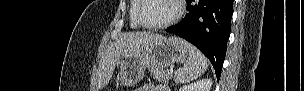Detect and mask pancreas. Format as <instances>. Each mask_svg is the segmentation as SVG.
Wrapping results in <instances>:
<instances>
[{
  "label": "pancreas",
  "instance_id": "cf45deb5",
  "mask_svg": "<svg viewBox=\"0 0 304 91\" xmlns=\"http://www.w3.org/2000/svg\"><path fill=\"white\" fill-rule=\"evenodd\" d=\"M150 73L154 79L160 82H168L172 78V74L169 71H164L162 69L150 67Z\"/></svg>",
  "mask_w": 304,
  "mask_h": 91
}]
</instances>
